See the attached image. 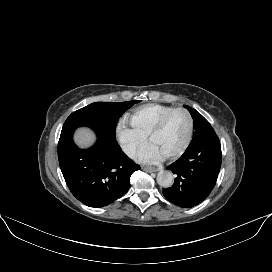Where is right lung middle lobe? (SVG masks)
<instances>
[{
	"mask_svg": "<svg viewBox=\"0 0 272 272\" xmlns=\"http://www.w3.org/2000/svg\"><path fill=\"white\" fill-rule=\"evenodd\" d=\"M138 100L128 102H95L73 112L64 124L77 123L104 130L115 136L119 117Z\"/></svg>",
	"mask_w": 272,
	"mask_h": 272,
	"instance_id": "right-lung-middle-lobe-1",
	"label": "right lung middle lobe"
}]
</instances>
